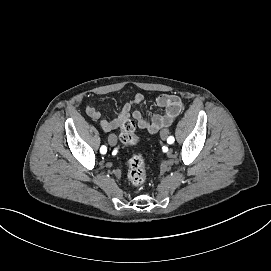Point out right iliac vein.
Listing matches in <instances>:
<instances>
[{
	"label": "right iliac vein",
	"mask_w": 271,
	"mask_h": 271,
	"mask_svg": "<svg viewBox=\"0 0 271 271\" xmlns=\"http://www.w3.org/2000/svg\"><path fill=\"white\" fill-rule=\"evenodd\" d=\"M108 142L110 146H115L117 144V137L114 134H110L108 137Z\"/></svg>",
	"instance_id": "1"
}]
</instances>
